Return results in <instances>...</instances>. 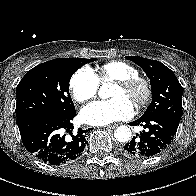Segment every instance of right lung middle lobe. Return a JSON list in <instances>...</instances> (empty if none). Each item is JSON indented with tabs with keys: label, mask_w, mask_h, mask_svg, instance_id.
Returning a JSON list of instances; mask_svg holds the SVG:
<instances>
[{
	"label": "right lung middle lobe",
	"mask_w": 196,
	"mask_h": 196,
	"mask_svg": "<svg viewBox=\"0 0 196 196\" xmlns=\"http://www.w3.org/2000/svg\"><path fill=\"white\" fill-rule=\"evenodd\" d=\"M95 58H57L29 70L17 86V122L38 113L68 115L75 111L69 81L75 71Z\"/></svg>",
	"instance_id": "dd1d6c3e"
}]
</instances>
